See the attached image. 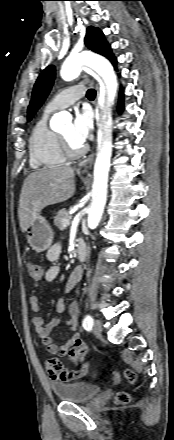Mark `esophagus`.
Masks as SVG:
<instances>
[{
  "label": "esophagus",
  "mask_w": 174,
  "mask_h": 440,
  "mask_svg": "<svg viewBox=\"0 0 174 440\" xmlns=\"http://www.w3.org/2000/svg\"><path fill=\"white\" fill-rule=\"evenodd\" d=\"M95 153L92 152L89 154L85 159L79 162L78 164V170L82 174H88L89 170L91 169L94 161Z\"/></svg>",
  "instance_id": "34e87169"
}]
</instances>
